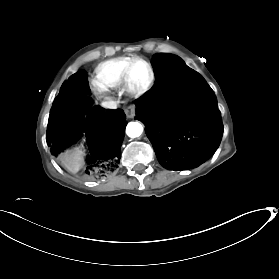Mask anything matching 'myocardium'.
Returning a JSON list of instances; mask_svg holds the SVG:
<instances>
[{
  "instance_id": "myocardium-1",
  "label": "myocardium",
  "mask_w": 279,
  "mask_h": 279,
  "mask_svg": "<svg viewBox=\"0 0 279 279\" xmlns=\"http://www.w3.org/2000/svg\"><path fill=\"white\" fill-rule=\"evenodd\" d=\"M142 62L145 63L150 71V78L148 83L142 88H135L132 86L130 81V75L132 67L135 63ZM156 81V73L154 70L153 65L145 58L142 57H133L130 59L128 64L125 67L124 74H123V89L124 91L132 98H140L146 95L148 92L151 91Z\"/></svg>"
}]
</instances>
